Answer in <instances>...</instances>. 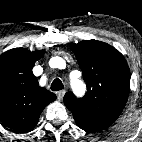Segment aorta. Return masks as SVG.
I'll return each mask as SVG.
<instances>
[{"label": "aorta", "instance_id": "1", "mask_svg": "<svg viewBox=\"0 0 142 142\" xmlns=\"http://www.w3.org/2000/svg\"><path fill=\"white\" fill-rule=\"evenodd\" d=\"M74 86H75L76 88L81 89V90L84 89V84H83L82 81H80V80L74 81Z\"/></svg>", "mask_w": 142, "mask_h": 142}]
</instances>
